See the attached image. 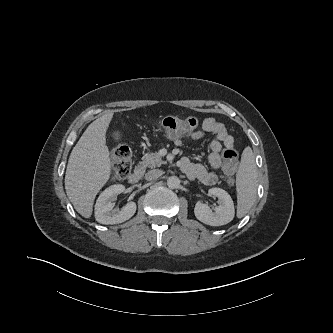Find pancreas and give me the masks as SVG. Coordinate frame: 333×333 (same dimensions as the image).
<instances>
[{"label": "pancreas", "instance_id": "1", "mask_svg": "<svg viewBox=\"0 0 333 333\" xmlns=\"http://www.w3.org/2000/svg\"><path fill=\"white\" fill-rule=\"evenodd\" d=\"M165 162L162 160L161 156L157 152H148L142 157L140 165L143 168H155L159 167Z\"/></svg>", "mask_w": 333, "mask_h": 333}]
</instances>
